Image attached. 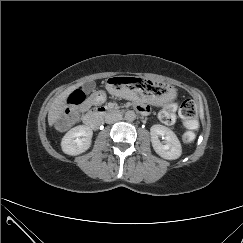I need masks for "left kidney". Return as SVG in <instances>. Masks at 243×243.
<instances>
[{"label":"left kidney","mask_w":243,"mask_h":243,"mask_svg":"<svg viewBox=\"0 0 243 243\" xmlns=\"http://www.w3.org/2000/svg\"><path fill=\"white\" fill-rule=\"evenodd\" d=\"M151 142L155 152L162 158L167 160L178 159L182 154V147L176 134L163 125H153L150 129ZM165 138L162 143L159 137Z\"/></svg>","instance_id":"1"}]
</instances>
